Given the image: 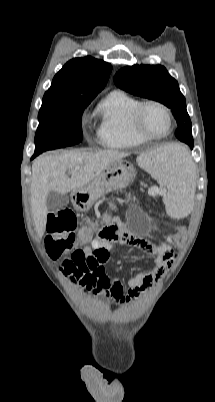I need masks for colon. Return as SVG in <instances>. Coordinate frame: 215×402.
<instances>
[{"label":"colon","instance_id":"obj_1","mask_svg":"<svg viewBox=\"0 0 215 402\" xmlns=\"http://www.w3.org/2000/svg\"><path fill=\"white\" fill-rule=\"evenodd\" d=\"M75 228L76 217L71 210H61L48 215L47 236L45 240L46 250L48 255L53 259H57L65 253L72 255L71 258L64 260L63 264L65 266H68L71 262H81L83 259L81 251L76 250L72 254V250L83 248V244H90L92 242L90 228H84L79 233V237L75 234ZM178 228L180 230H186L187 224L180 223ZM187 237V231L174 234L173 245L177 247L180 246L181 243L186 241Z\"/></svg>","mask_w":215,"mask_h":402}]
</instances>
